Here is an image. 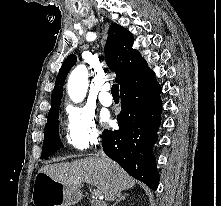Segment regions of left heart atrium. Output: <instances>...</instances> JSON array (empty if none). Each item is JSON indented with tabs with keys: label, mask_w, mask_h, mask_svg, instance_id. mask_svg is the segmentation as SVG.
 <instances>
[{
	"label": "left heart atrium",
	"mask_w": 221,
	"mask_h": 206,
	"mask_svg": "<svg viewBox=\"0 0 221 206\" xmlns=\"http://www.w3.org/2000/svg\"><path fill=\"white\" fill-rule=\"evenodd\" d=\"M102 119H103V121H104L105 123H108V122H109V116H108V115H103Z\"/></svg>",
	"instance_id": "left-heart-atrium-1"
}]
</instances>
